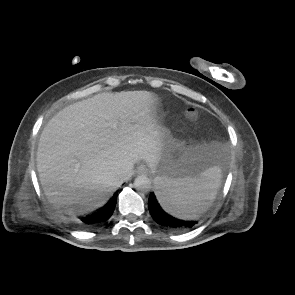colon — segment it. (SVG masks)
Returning <instances> with one entry per match:
<instances>
[{
	"instance_id": "colon-1",
	"label": "colon",
	"mask_w": 295,
	"mask_h": 295,
	"mask_svg": "<svg viewBox=\"0 0 295 295\" xmlns=\"http://www.w3.org/2000/svg\"><path fill=\"white\" fill-rule=\"evenodd\" d=\"M186 116L190 119V120H195L198 117V113L196 111L195 108H189L186 111Z\"/></svg>"
}]
</instances>
